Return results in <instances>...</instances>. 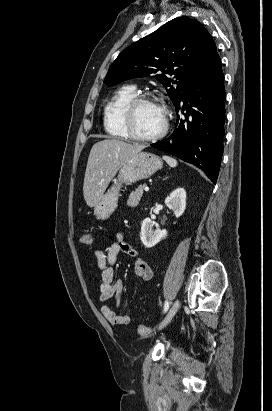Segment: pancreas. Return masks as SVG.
<instances>
[{"mask_svg":"<svg viewBox=\"0 0 272 411\" xmlns=\"http://www.w3.org/2000/svg\"><path fill=\"white\" fill-rule=\"evenodd\" d=\"M144 188H145V185H139L138 188L130 194L127 200V205L129 207H136L139 204V201L141 200L143 196Z\"/></svg>","mask_w":272,"mask_h":411,"instance_id":"pancreas-1","label":"pancreas"}]
</instances>
